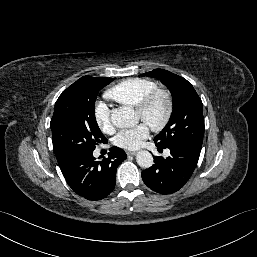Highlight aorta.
<instances>
[{
    "mask_svg": "<svg viewBox=\"0 0 257 257\" xmlns=\"http://www.w3.org/2000/svg\"><path fill=\"white\" fill-rule=\"evenodd\" d=\"M110 118L112 124L118 128H128L138 123V117L130 107L112 110ZM136 161L140 167L150 168L153 165L154 159L150 152L142 150L138 152Z\"/></svg>",
    "mask_w": 257,
    "mask_h": 257,
    "instance_id": "aorta-1",
    "label": "aorta"
}]
</instances>
